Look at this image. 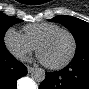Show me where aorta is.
Here are the masks:
<instances>
[{"label": "aorta", "mask_w": 89, "mask_h": 89, "mask_svg": "<svg viewBox=\"0 0 89 89\" xmlns=\"http://www.w3.org/2000/svg\"><path fill=\"white\" fill-rule=\"evenodd\" d=\"M31 78L37 83H41L45 79V70L42 68H34L31 71Z\"/></svg>", "instance_id": "obj_1"}]
</instances>
